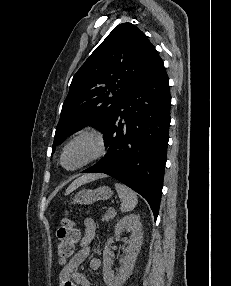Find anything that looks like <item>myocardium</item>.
<instances>
[{
  "label": "myocardium",
  "instance_id": "f54148a6",
  "mask_svg": "<svg viewBox=\"0 0 231 286\" xmlns=\"http://www.w3.org/2000/svg\"><path fill=\"white\" fill-rule=\"evenodd\" d=\"M83 139H90L95 143V152L78 166L73 168L65 167L63 163L65 152L72 144ZM106 151H107V143L104 135L95 129H84L74 134L65 142L60 152L59 164L65 170L70 172H75L104 157Z\"/></svg>",
  "mask_w": 231,
  "mask_h": 286
}]
</instances>
